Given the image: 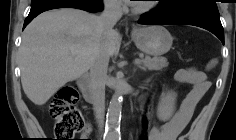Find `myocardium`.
I'll return each mask as SVG.
<instances>
[{
  "label": "myocardium",
  "instance_id": "1",
  "mask_svg": "<svg viewBox=\"0 0 236 140\" xmlns=\"http://www.w3.org/2000/svg\"><path fill=\"white\" fill-rule=\"evenodd\" d=\"M156 5L154 2H148L144 4H135L133 5V11L136 13H146L154 9Z\"/></svg>",
  "mask_w": 236,
  "mask_h": 140
}]
</instances>
